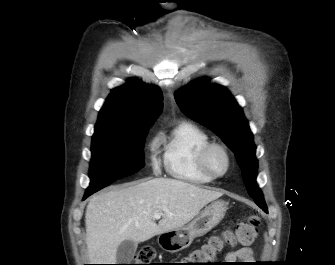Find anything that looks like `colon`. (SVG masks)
<instances>
[{"instance_id":"obj_1","label":"colon","mask_w":335,"mask_h":265,"mask_svg":"<svg viewBox=\"0 0 335 265\" xmlns=\"http://www.w3.org/2000/svg\"><path fill=\"white\" fill-rule=\"evenodd\" d=\"M260 219L249 216L237 223L233 229H225L218 235L211 236L206 243L192 251L184 260L187 265H211L226 246L244 245L248 246L254 242L258 235ZM155 250L152 247H143L137 253L134 264L127 265H153Z\"/></svg>"}]
</instances>
